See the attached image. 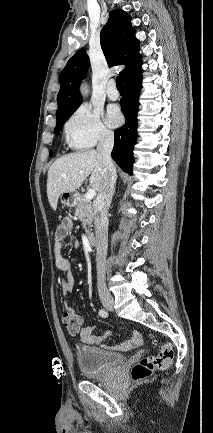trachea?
I'll list each match as a JSON object with an SVG mask.
<instances>
[{"label": "trachea", "mask_w": 213, "mask_h": 433, "mask_svg": "<svg viewBox=\"0 0 213 433\" xmlns=\"http://www.w3.org/2000/svg\"><path fill=\"white\" fill-rule=\"evenodd\" d=\"M116 86H117L118 89H124V85H123L121 76H117V78H116Z\"/></svg>", "instance_id": "3493384b"}]
</instances>
